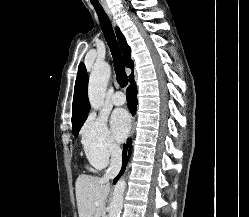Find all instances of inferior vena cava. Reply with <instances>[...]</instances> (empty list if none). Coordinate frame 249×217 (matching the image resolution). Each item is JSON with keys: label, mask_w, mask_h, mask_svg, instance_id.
<instances>
[{"label": "inferior vena cava", "mask_w": 249, "mask_h": 217, "mask_svg": "<svg viewBox=\"0 0 249 217\" xmlns=\"http://www.w3.org/2000/svg\"><path fill=\"white\" fill-rule=\"evenodd\" d=\"M110 152H111L110 166L103 177V180L105 181L115 178V176L119 173L122 165L121 148L117 144H112L110 146Z\"/></svg>", "instance_id": "602c4592"}]
</instances>
